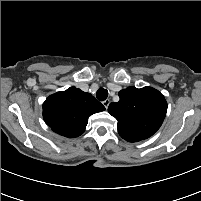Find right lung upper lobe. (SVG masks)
Segmentation results:
<instances>
[{"mask_svg":"<svg viewBox=\"0 0 201 201\" xmlns=\"http://www.w3.org/2000/svg\"><path fill=\"white\" fill-rule=\"evenodd\" d=\"M105 107L91 94L75 87L50 95L43 104V118L51 129L62 136H80L91 114Z\"/></svg>","mask_w":201,"mask_h":201,"instance_id":"obj_1","label":"right lung upper lobe"}]
</instances>
